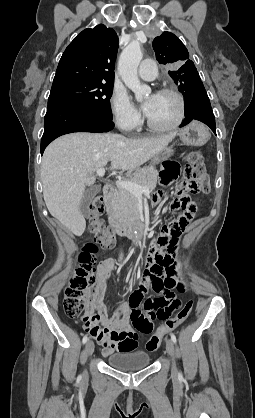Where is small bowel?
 Wrapping results in <instances>:
<instances>
[{"label": "small bowel", "mask_w": 255, "mask_h": 418, "mask_svg": "<svg viewBox=\"0 0 255 418\" xmlns=\"http://www.w3.org/2000/svg\"><path fill=\"white\" fill-rule=\"evenodd\" d=\"M178 172L177 163L166 162L161 171V182L169 184ZM189 221L182 222L178 219L176 222L180 223V226L177 231L173 227H162L160 237H153L146 242L145 254L148 257L142 287L131 296L129 304H123L118 313L110 317L106 308L100 305L98 297L102 293L106 277L115 268V261L107 258L100 263L98 282L92 288V299L88 309V314L96 315L97 320L93 329L86 330L102 347L104 356L134 350L140 335L151 332L154 320H170L173 314L182 308L183 296L188 287L183 282L176 281L175 256L180 247L178 237L186 229ZM148 288L162 294L143 300ZM142 301L146 314L137 308ZM128 316L131 317L132 324L128 322Z\"/></svg>", "instance_id": "1"}]
</instances>
